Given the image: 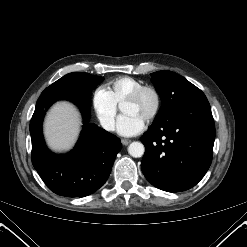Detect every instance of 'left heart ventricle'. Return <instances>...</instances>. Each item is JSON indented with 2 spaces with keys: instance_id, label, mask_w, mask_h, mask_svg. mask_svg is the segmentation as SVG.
Instances as JSON below:
<instances>
[{
  "instance_id": "1",
  "label": "left heart ventricle",
  "mask_w": 247,
  "mask_h": 247,
  "mask_svg": "<svg viewBox=\"0 0 247 247\" xmlns=\"http://www.w3.org/2000/svg\"><path fill=\"white\" fill-rule=\"evenodd\" d=\"M154 107V97L151 93H145L139 100L126 103L122 106V111L125 114H136L146 120Z\"/></svg>"
}]
</instances>
